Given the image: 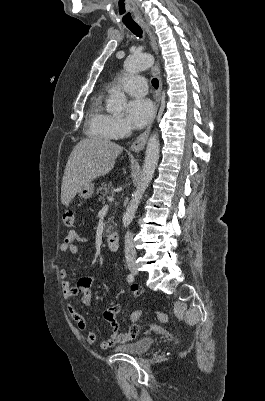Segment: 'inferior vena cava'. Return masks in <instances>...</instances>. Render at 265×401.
I'll return each instance as SVG.
<instances>
[{
    "label": "inferior vena cava",
    "instance_id": "inferior-vena-cava-1",
    "mask_svg": "<svg viewBox=\"0 0 265 401\" xmlns=\"http://www.w3.org/2000/svg\"><path fill=\"white\" fill-rule=\"evenodd\" d=\"M125 257L126 259H136V251L133 243V235L132 233H126L125 235Z\"/></svg>",
    "mask_w": 265,
    "mask_h": 401
}]
</instances>
